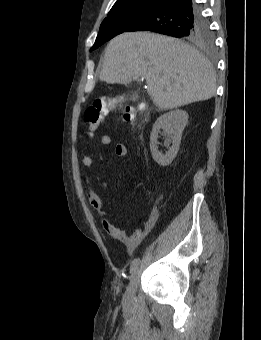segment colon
<instances>
[{"label": "colon", "instance_id": "colon-1", "mask_svg": "<svg viewBox=\"0 0 261 340\" xmlns=\"http://www.w3.org/2000/svg\"><path fill=\"white\" fill-rule=\"evenodd\" d=\"M114 107V102L109 100H97L92 105L86 108L84 112L85 121L88 124L90 134H92L103 121L104 117ZM144 106H126L124 110V120L127 123H132L137 116L142 112Z\"/></svg>", "mask_w": 261, "mask_h": 340}]
</instances>
